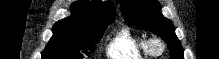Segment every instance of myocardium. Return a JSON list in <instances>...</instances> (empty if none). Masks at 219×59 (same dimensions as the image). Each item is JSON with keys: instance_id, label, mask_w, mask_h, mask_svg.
<instances>
[{"instance_id": "myocardium-1", "label": "myocardium", "mask_w": 219, "mask_h": 59, "mask_svg": "<svg viewBox=\"0 0 219 59\" xmlns=\"http://www.w3.org/2000/svg\"><path fill=\"white\" fill-rule=\"evenodd\" d=\"M147 47L152 56H159L166 50V44L160 37H152L147 40Z\"/></svg>"}]
</instances>
